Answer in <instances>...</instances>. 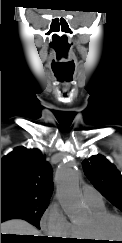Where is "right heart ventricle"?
Returning <instances> with one entry per match:
<instances>
[{"instance_id":"obj_1","label":"right heart ventricle","mask_w":122,"mask_h":243,"mask_svg":"<svg viewBox=\"0 0 122 243\" xmlns=\"http://www.w3.org/2000/svg\"><path fill=\"white\" fill-rule=\"evenodd\" d=\"M92 215H98L107 212L104 203L87 204ZM75 239L83 240L88 239L83 232V225H73V235Z\"/></svg>"}]
</instances>
